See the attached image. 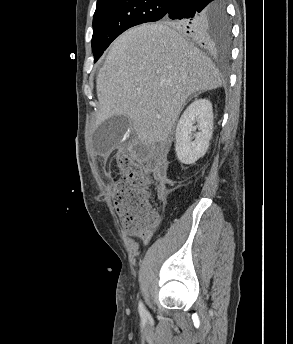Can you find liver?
I'll return each instance as SVG.
<instances>
[{"mask_svg": "<svg viewBox=\"0 0 293 344\" xmlns=\"http://www.w3.org/2000/svg\"><path fill=\"white\" fill-rule=\"evenodd\" d=\"M175 28L143 24L114 41L96 81L99 124L123 115L139 141L162 143L192 94L222 85L212 61Z\"/></svg>", "mask_w": 293, "mask_h": 344, "instance_id": "6515ba94", "label": "liver"}]
</instances>
